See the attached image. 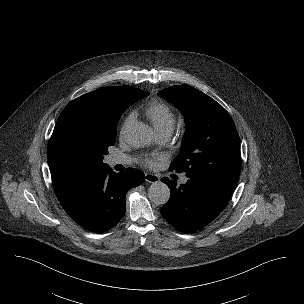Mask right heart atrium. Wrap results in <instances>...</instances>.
<instances>
[{"instance_id":"obj_1","label":"right heart atrium","mask_w":304,"mask_h":304,"mask_svg":"<svg viewBox=\"0 0 304 304\" xmlns=\"http://www.w3.org/2000/svg\"><path fill=\"white\" fill-rule=\"evenodd\" d=\"M132 118H133V114H129V115L126 117V119H125V121H124V124H123V127H122V131L124 130V128L126 127V125L132 120Z\"/></svg>"}]
</instances>
